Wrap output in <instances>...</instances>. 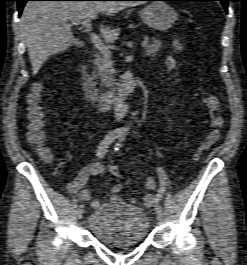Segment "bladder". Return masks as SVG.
Wrapping results in <instances>:
<instances>
[{"mask_svg":"<svg viewBox=\"0 0 247 265\" xmlns=\"http://www.w3.org/2000/svg\"><path fill=\"white\" fill-rule=\"evenodd\" d=\"M88 229L100 243L124 248L147 238L149 221L146 212L138 206L105 202L90 213Z\"/></svg>","mask_w":247,"mask_h":265,"instance_id":"31cf9c89","label":"bladder"}]
</instances>
